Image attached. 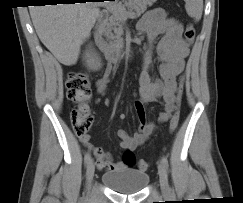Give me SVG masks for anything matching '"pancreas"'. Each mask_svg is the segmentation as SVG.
<instances>
[{"instance_id": "1", "label": "pancreas", "mask_w": 243, "mask_h": 203, "mask_svg": "<svg viewBox=\"0 0 243 203\" xmlns=\"http://www.w3.org/2000/svg\"><path fill=\"white\" fill-rule=\"evenodd\" d=\"M156 0H123V3L117 4L122 8H128L130 12L134 11L135 17H139L147 9V6H152ZM123 17L118 12L111 11L110 15L103 23L102 32L108 41V47L120 49L123 46L122 21Z\"/></svg>"}]
</instances>
